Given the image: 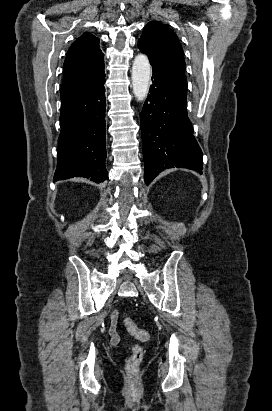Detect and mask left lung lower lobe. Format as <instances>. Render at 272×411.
Listing matches in <instances>:
<instances>
[{
	"instance_id": "obj_1",
	"label": "left lung lower lobe",
	"mask_w": 272,
	"mask_h": 411,
	"mask_svg": "<svg viewBox=\"0 0 272 411\" xmlns=\"http://www.w3.org/2000/svg\"><path fill=\"white\" fill-rule=\"evenodd\" d=\"M153 84L141 112L145 182L164 169L183 167L201 173L202 151L186 108L187 88L153 70Z\"/></svg>"
}]
</instances>
